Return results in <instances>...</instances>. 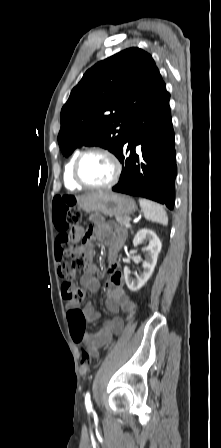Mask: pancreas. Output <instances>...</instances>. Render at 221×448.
Masks as SVG:
<instances>
[{
    "mask_svg": "<svg viewBox=\"0 0 221 448\" xmlns=\"http://www.w3.org/2000/svg\"><path fill=\"white\" fill-rule=\"evenodd\" d=\"M130 219L131 218L129 216H116V221L121 227H124L126 223L130 221Z\"/></svg>",
    "mask_w": 221,
    "mask_h": 448,
    "instance_id": "obj_1",
    "label": "pancreas"
}]
</instances>
